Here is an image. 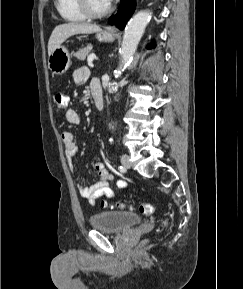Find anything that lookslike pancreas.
<instances>
[{"mask_svg":"<svg viewBox=\"0 0 243 289\" xmlns=\"http://www.w3.org/2000/svg\"><path fill=\"white\" fill-rule=\"evenodd\" d=\"M92 48V45H88L87 47L75 52L74 56L80 60H85L86 57L90 54Z\"/></svg>","mask_w":243,"mask_h":289,"instance_id":"obj_1","label":"pancreas"}]
</instances>
